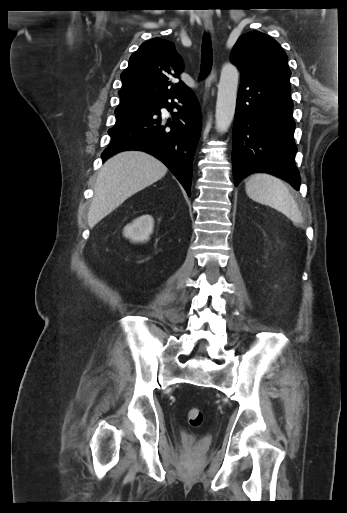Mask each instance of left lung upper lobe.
Listing matches in <instances>:
<instances>
[{
    "mask_svg": "<svg viewBox=\"0 0 347 513\" xmlns=\"http://www.w3.org/2000/svg\"><path fill=\"white\" fill-rule=\"evenodd\" d=\"M230 60L244 78L289 81L291 75L286 53L274 39L258 31L239 37Z\"/></svg>",
    "mask_w": 347,
    "mask_h": 513,
    "instance_id": "1",
    "label": "left lung upper lobe"
}]
</instances>
